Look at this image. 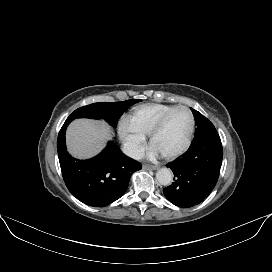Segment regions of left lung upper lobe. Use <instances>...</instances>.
I'll list each match as a JSON object with an SVG mask.
<instances>
[{
	"label": "left lung upper lobe",
	"mask_w": 272,
	"mask_h": 272,
	"mask_svg": "<svg viewBox=\"0 0 272 272\" xmlns=\"http://www.w3.org/2000/svg\"><path fill=\"white\" fill-rule=\"evenodd\" d=\"M195 123L197 128L195 129V135L192 142L200 140L214 132H217L214 125L206 118L204 117L200 112L192 109Z\"/></svg>",
	"instance_id": "obj_1"
}]
</instances>
